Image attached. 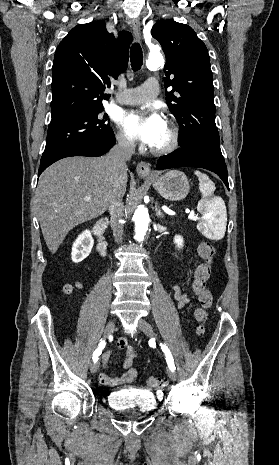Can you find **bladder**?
<instances>
[{
    "label": "bladder",
    "mask_w": 279,
    "mask_h": 465,
    "mask_svg": "<svg viewBox=\"0 0 279 465\" xmlns=\"http://www.w3.org/2000/svg\"><path fill=\"white\" fill-rule=\"evenodd\" d=\"M107 403L120 412H152L157 408V399L150 391L120 389L110 392Z\"/></svg>",
    "instance_id": "1"
}]
</instances>
